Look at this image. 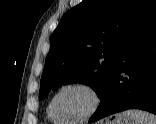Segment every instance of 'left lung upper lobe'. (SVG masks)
Returning a JSON list of instances; mask_svg holds the SVG:
<instances>
[{
  "instance_id": "5c2ea615",
  "label": "left lung upper lobe",
  "mask_w": 156,
  "mask_h": 124,
  "mask_svg": "<svg viewBox=\"0 0 156 124\" xmlns=\"http://www.w3.org/2000/svg\"><path fill=\"white\" fill-rule=\"evenodd\" d=\"M156 0H83L60 20L41 77L39 100L61 84L90 85L100 98L119 58Z\"/></svg>"
}]
</instances>
